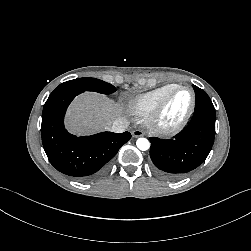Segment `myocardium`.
<instances>
[{"label":"myocardium","mask_w":251,"mask_h":251,"mask_svg":"<svg viewBox=\"0 0 251 251\" xmlns=\"http://www.w3.org/2000/svg\"><path fill=\"white\" fill-rule=\"evenodd\" d=\"M188 91L191 96V103L189 108L187 109L184 116L175 124L168 125L162 121L163 113L165 108L173 96L174 93L178 91ZM196 107V96L194 91L186 86H179L176 85L170 91H168L155 109L147 116L146 125L148 129L156 134V135H173L180 132L189 122L190 118L192 117Z\"/></svg>","instance_id":"f54148a6"}]
</instances>
